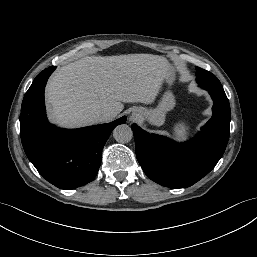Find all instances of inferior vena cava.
Returning <instances> with one entry per match:
<instances>
[{
  "label": "inferior vena cava",
  "mask_w": 257,
  "mask_h": 257,
  "mask_svg": "<svg viewBox=\"0 0 257 257\" xmlns=\"http://www.w3.org/2000/svg\"><path fill=\"white\" fill-rule=\"evenodd\" d=\"M117 115L114 111H100L97 113L96 118L98 122H105L113 119Z\"/></svg>",
  "instance_id": "1"
}]
</instances>
